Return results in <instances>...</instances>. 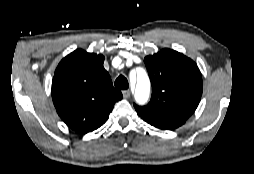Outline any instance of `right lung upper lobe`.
<instances>
[{"instance_id": "obj_1", "label": "right lung upper lobe", "mask_w": 254, "mask_h": 174, "mask_svg": "<svg viewBox=\"0 0 254 174\" xmlns=\"http://www.w3.org/2000/svg\"><path fill=\"white\" fill-rule=\"evenodd\" d=\"M104 56L77 49L59 63L52 81V99L58 115L74 131L100 127L122 93L113 87L103 67Z\"/></svg>"}]
</instances>
